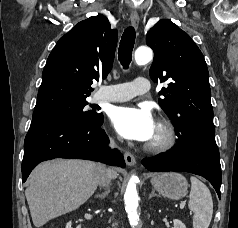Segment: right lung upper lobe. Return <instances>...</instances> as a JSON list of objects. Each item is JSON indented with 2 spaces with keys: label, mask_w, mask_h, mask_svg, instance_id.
<instances>
[{
  "label": "right lung upper lobe",
  "mask_w": 238,
  "mask_h": 228,
  "mask_svg": "<svg viewBox=\"0 0 238 228\" xmlns=\"http://www.w3.org/2000/svg\"><path fill=\"white\" fill-rule=\"evenodd\" d=\"M117 38V31L101 15L79 22L62 36L44 67L33 116L86 101L93 82L111 70Z\"/></svg>",
  "instance_id": "cb5924a9"
}]
</instances>
